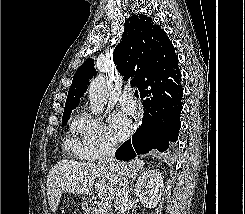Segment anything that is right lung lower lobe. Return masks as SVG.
Segmentation results:
<instances>
[{"instance_id": "1", "label": "right lung lower lobe", "mask_w": 245, "mask_h": 214, "mask_svg": "<svg viewBox=\"0 0 245 214\" xmlns=\"http://www.w3.org/2000/svg\"><path fill=\"white\" fill-rule=\"evenodd\" d=\"M180 78L177 60L149 73L140 92L144 99L142 124L132 139L118 148L116 159L128 161L153 149L165 152L169 143L178 139L183 97Z\"/></svg>"}]
</instances>
